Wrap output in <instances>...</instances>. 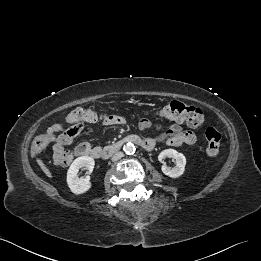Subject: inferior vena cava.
<instances>
[{"instance_id": "1", "label": "inferior vena cava", "mask_w": 261, "mask_h": 261, "mask_svg": "<svg viewBox=\"0 0 261 261\" xmlns=\"http://www.w3.org/2000/svg\"><path fill=\"white\" fill-rule=\"evenodd\" d=\"M122 157H123V153H122V152H117V153H115V154L112 156L111 160H112L113 162H115V161H118L119 159H121Z\"/></svg>"}]
</instances>
